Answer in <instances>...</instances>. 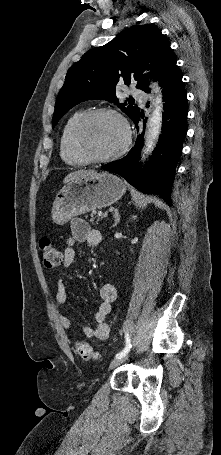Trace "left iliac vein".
I'll return each mask as SVG.
<instances>
[{
  "label": "left iliac vein",
  "mask_w": 221,
  "mask_h": 455,
  "mask_svg": "<svg viewBox=\"0 0 221 455\" xmlns=\"http://www.w3.org/2000/svg\"><path fill=\"white\" fill-rule=\"evenodd\" d=\"M127 359L126 356H123L121 358H116L114 359L110 365H109V369H113V368H116L117 366H119L120 364H122L123 362H125Z\"/></svg>",
  "instance_id": "left-iliac-vein-1"
}]
</instances>
